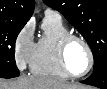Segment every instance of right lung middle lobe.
<instances>
[{
    "mask_svg": "<svg viewBox=\"0 0 107 89\" xmlns=\"http://www.w3.org/2000/svg\"><path fill=\"white\" fill-rule=\"evenodd\" d=\"M26 23L0 19V77L13 78L19 76L15 64V41Z\"/></svg>",
    "mask_w": 107,
    "mask_h": 89,
    "instance_id": "obj_1",
    "label": "right lung middle lobe"
}]
</instances>
